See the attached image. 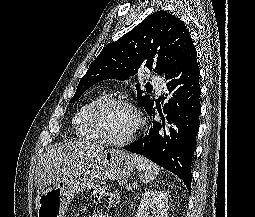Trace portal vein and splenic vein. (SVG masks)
<instances>
[{
  "instance_id": "18ae733b",
  "label": "portal vein and splenic vein",
  "mask_w": 255,
  "mask_h": 217,
  "mask_svg": "<svg viewBox=\"0 0 255 217\" xmlns=\"http://www.w3.org/2000/svg\"><path fill=\"white\" fill-rule=\"evenodd\" d=\"M126 189H127L128 191L132 190L131 185H127V186H126Z\"/></svg>"
}]
</instances>
